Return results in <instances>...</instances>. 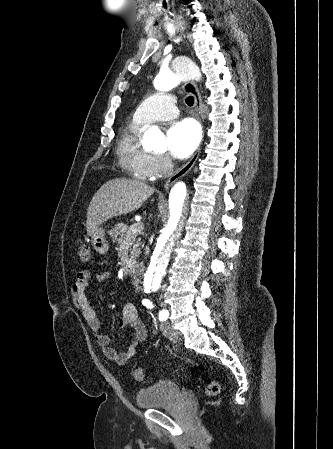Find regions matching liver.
Instances as JSON below:
<instances>
[{"label": "liver", "instance_id": "6515ba94", "mask_svg": "<svg viewBox=\"0 0 333 449\" xmlns=\"http://www.w3.org/2000/svg\"><path fill=\"white\" fill-rule=\"evenodd\" d=\"M154 188L136 180L107 181L93 196L87 212V234L91 236L108 219L138 210Z\"/></svg>", "mask_w": 333, "mask_h": 449}]
</instances>
